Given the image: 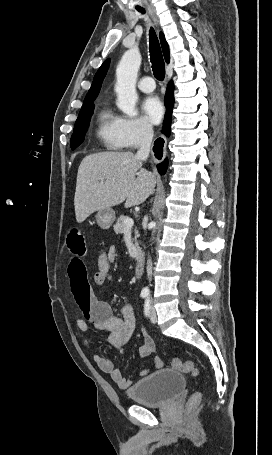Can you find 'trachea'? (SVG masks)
Instances as JSON below:
<instances>
[{"mask_svg": "<svg viewBox=\"0 0 272 455\" xmlns=\"http://www.w3.org/2000/svg\"><path fill=\"white\" fill-rule=\"evenodd\" d=\"M137 10L142 13H145V10L141 7H138ZM149 43L150 60L152 63L153 74L157 80L163 81L165 78V63L163 60L157 35L153 28H151L149 32Z\"/></svg>", "mask_w": 272, "mask_h": 455, "instance_id": "3493384b", "label": "trachea"}]
</instances>
